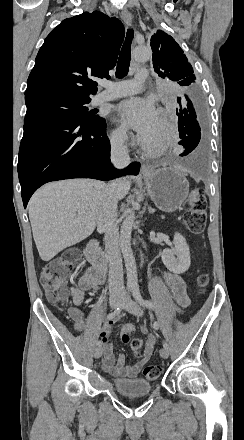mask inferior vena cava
<instances>
[{"label":"inferior vena cava","mask_w":244,"mask_h":440,"mask_svg":"<svg viewBox=\"0 0 244 440\" xmlns=\"http://www.w3.org/2000/svg\"><path fill=\"white\" fill-rule=\"evenodd\" d=\"M111 162L115 168H126L130 164L127 146H124L123 136L112 144ZM120 180H114L104 188L97 228L105 234V248L109 262V292L110 294H125L123 282L122 258L119 248V228L117 224V188Z\"/></svg>","instance_id":"obj_1"}]
</instances>
